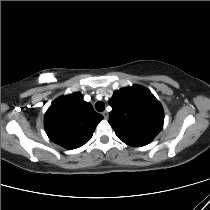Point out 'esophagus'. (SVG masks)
I'll return each instance as SVG.
<instances>
[{"mask_svg": "<svg viewBox=\"0 0 210 210\" xmlns=\"http://www.w3.org/2000/svg\"><path fill=\"white\" fill-rule=\"evenodd\" d=\"M102 115H103V117H104V119H108V112H106V111H103L102 112Z\"/></svg>", "mask_w": 210, "mask_h": 210, "instance_id": "34e87169", "label": "esophagus"}]
</instances>
